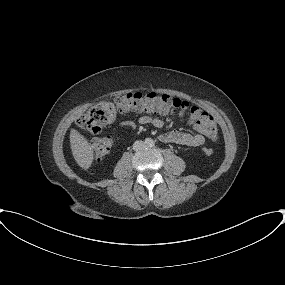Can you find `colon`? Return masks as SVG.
Listing matches in <instances>:
<instances>
[{
    "label": "colon",
    "instance_id": "5ec220e1",
    "mask_svg": "<svg viewBox=\"0 0 285 285\" xmlns=\"http://www.w3.org/2000/svg\"><path fill=\"white\" fill-rule=\"evenodd\" d=\"M130 112H154L160 114L178 113L188 116L190 122L200 132L207 135L211 140L218 138V127L215 119L209 113L198 107L191 106L188 102L169 95H159L154 92L141 93L129 92L117 96L113 103L105 102L99 104L77 120V128L80 131L96 134L102 128L115 119L116 113ZM113 139L106 136L93 144L95 157L98 160L105 158L112 147ZM205 155H212L213 149L205 147Z\"/></svg>",
    "mask_w": 285,
    "mask_h": 285
}]
</instances>
